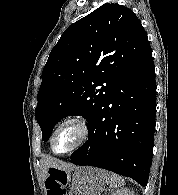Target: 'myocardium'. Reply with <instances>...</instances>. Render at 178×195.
<instances>
[{
	"mask_svg": "<svg viewBox=\"0 0 178 195\" xmlns=\"http://www.w3.org/2000/svg\"><path fill=\"white\" fill-rule=\"evenodd\" d=\"M67 125H75L76 127H78L80 132H81V135H80L78 142L74 146H72L70 149L63 151V152H58L54 149L55 138H56V135L59 132V130ZM89 135H90L89 125L82 117L76 116V117L68 118V119L62 121L57 126V128L54 130L52 137H51V141H50L51 149L55 154L63 155V154L71 153L73 151H76L80 147H82L87 142Z\"/></svg>",
	"mask_w": 178,
	"mask_h": 195,
	"instance_id": "obj_1",
	"label": "myocardium"
}]
</instances>
